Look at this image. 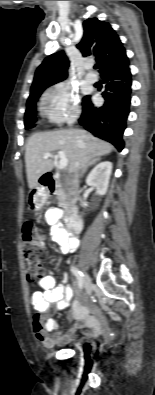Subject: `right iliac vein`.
<instances>
[{"instance_id":"63e3f726","label":"right iliac vein","mask_w":155,"mask_h":395,"mask_svg":"<svg viewBox=\"0 0 155 395\" xmlns=\"http://www.w3.org/2000/svg\"><path fill=\"white\" fill-rule=\"evenodd\" d=\"M82 274H83L82 279H83V283H84V286H85V289H86V293L88 295H91L92 290H93V284L91 282V279H90V277L87 274H85V273H82Z\"/></svg>"}]
</instances>
